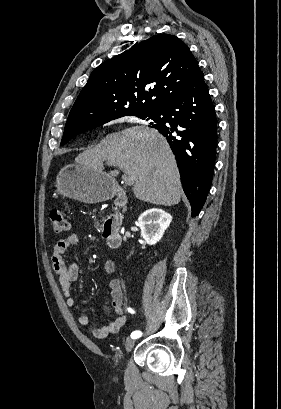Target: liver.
Instances as JSON below:
<instances>
[{
    "label": "liver",
    "mask_w": 281,
    "mask_h": 409,
    "mask_svg": "<svg viewBox=\"0 0 281 409\" xmlns=\"http://www.w3.org/2000/svg\"><path fill=\"white\" fill-rule=\"evenodd\" d=\"M103 172V160L112 162L134 178L132 190L139 200L153 205H179L182 194L179 170L169 144L151 126H130L121 132L107 134L95 148L84 150L75 158ZM106 174V172H105ZM119 170H110L109 178Z\"/></svg>",
    "instance_id": "obj_1"
}]
</instances>
